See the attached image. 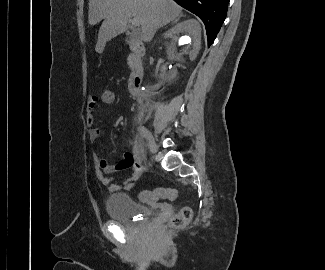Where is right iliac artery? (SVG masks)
I'll return each instance as SVG.
<instances>
[{"label":"right iliac artery","mask_w":325,"mask_h":270,"mask_svg":"<svg viewBox=\"0 0 325 270\" xmlns=\"http://www.w3.org/2000/svg\"><path fill=\"white\" fill-rule=\"evenodd\" d=\"M146 129L144 128V127H138V133H139V135L140 136H142V137H146Z\"/></svg>","instance_id":"obj_1"}]
</instances>
